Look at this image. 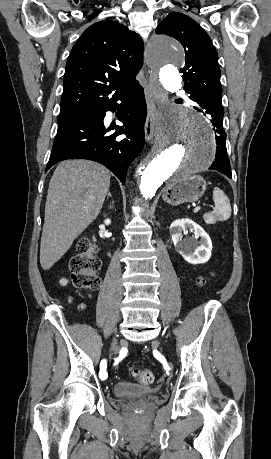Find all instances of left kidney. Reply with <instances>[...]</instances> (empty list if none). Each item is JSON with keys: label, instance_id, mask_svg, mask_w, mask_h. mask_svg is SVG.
<instances>
[{"label": "left kidney", "instance_id": "1", "mask_svg": "<svg viewBox=\"0 0 271 459\" xmlns=\"http://www.w3.org/2000/svg\"><path fill=\"white\" fill-rule=\"evenodd\" d=\"M183 229H193L195 235L192 245H187V243L182 241ZM169 231L172 235L175 249L189 263H205L211 257L212 241L208 233L201 226H198L196 222H193V220H189V218L175 220V222H172ZM197 237H201L200 241H197Z\"/></svg>", "mask_w": 271, "mask_h": 459}]
</instances>
